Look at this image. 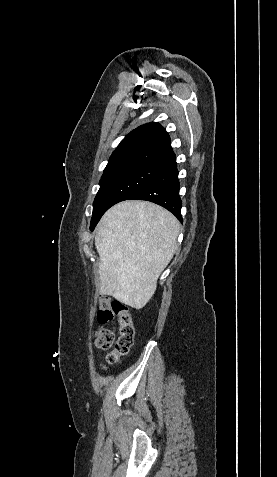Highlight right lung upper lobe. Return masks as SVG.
<instances>
[{
	"label": "right lung upper lobe",
	"instance_id": "cb5924a9",
	"mask_svg": "<svg viewBox=\"0 0 277 477\" xmlns=\"http://www.w3.org/2000/svg\"><path fill=\"white\" fill-rule=\"evenodd\" d=\"M165 129L156 122L130 132L111 155L104 172L129 165L161 168L175 158Z\"/></svg>",
	"mask_w": 277,
	"mask_h": 477
}]
</instances>
